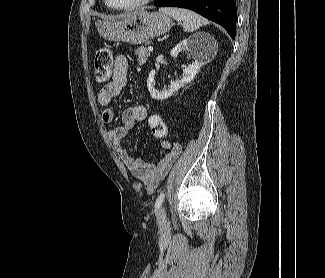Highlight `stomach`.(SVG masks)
I'll return each mask as SVG.
<instances>
[{
    "label": "stomach",
    "instance_id": "obj_1",
    "mask_svg": "<svg viewBox=\"0 0 325 278\" xmlns=\"http://www.w3.org/2000/svg\"><path fill=\"white\" fill-rule=\"evenodd\" d=\"M172 23L166 14L141 10L122 19L98 20L96 27L99 35L106 40L141 45L168 32Z\"/></svg>",
    "mask_w": 325,
    "mask_h": 278
}]
</instances>
